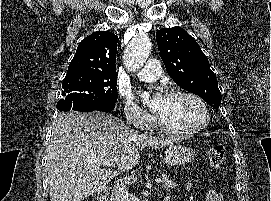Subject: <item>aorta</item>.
Listing matches in <instances>:
<instances>
[{"label": "aorta", "mask_w": 271, "mask_h": 201, "mask_svg": "<svg viewBox=\"0 0 271 201\" xmlns=\"http://www.w3.org/2000/svg\"><path fill=\"white\" fill-rule=\"evenodd\" d=\"M151 48L150 38L146 34L134 36L124 52L125 67L129 71L139 70L148 59Z\"/></svg>", "instance_id": "obj_1"}]
</instances>
